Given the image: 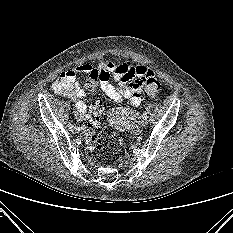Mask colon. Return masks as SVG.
Returning a JSON list of instances; mask_svg holds the SVG:
<instances>
[{"instance_id":"colon-1","label":"colon","mask_w":233,"mask_h":233,"mask_svg":"<svg viewBox=\"0 0 233 233\" xmlns=\"http://www.w3.org/2000/svg\"><path fill=\"white\" fill-rule=\"evenodd\" d=\"M109 79L108 73L99 70L93 69L89 74L85 81V88L89 92H95L103 81H107ZM54 90L58 93H63L70 88V83L68 78L64 73L60 75V77L55 81ZM160 90V83L154 76H150L145 80V93L149 98H156ZM100 107L99 105H95L92 107L91 111L86 115L85 121L83 124L84 134L91 144L92 149L100 148V139L96 134V128L99 123L100 116ZM122 144L120 143V147Z\"/></svg>"}]
</instances>
